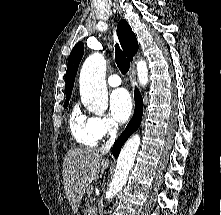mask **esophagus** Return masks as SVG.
<instances>
[{"label":"esophagus","mask_w":221,"mask_h":215,"mask_svg":"<svg viewBox=\"0 0 221 215\" xmlns=\"http://www.w3.org/2000/svg\"><path fill=\"white\" fill-rule=\"evenodd\" d=\"M129 79H130L131 83L134 84L135 70H134V66L133 65H131V67H130Z\"/></svg>","instance_id":"34e87169"}]
</instances>
